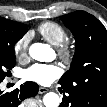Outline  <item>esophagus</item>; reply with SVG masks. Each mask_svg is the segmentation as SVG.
<instances>
[{
	"instance_id": "esophagus-1",
	"label": "esophagus",
	"mask_w": 107,
	"mask_h": 107,
	"mask_svg": "<svg viewBox=\"0 0 107 107\" xmlns=\"http://www.w3.org/2000/svg\"><path fill=\"white\" fill-rule=\"evenodd\" d=\"M48 91V89L47 88H44V87H39V94H44V93H46Z\"/></svg>"
}]
</instances>
